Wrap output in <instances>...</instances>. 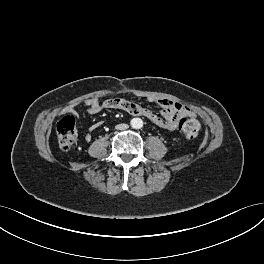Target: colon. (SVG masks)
I'll return each mask as SVG.
<instances>
[{"label": "colon", "instance_id": "obj_1", "mask_svg": "<svg viewBox=\"0 0 264 264\" xmlns=\"http://www.w3.org/2000/svg\"><path fill=\"white\" fill-rule=\"evenodd\" d=\"M181 134L189 140L195 139L200 130V124L195 118H182L179 123ZM58 142L62 150H69L77 138L75 117L69 113L64 115L56 124Z\"/></svg>", "mask_w": 264, "mask_h": 264}]
</instances>
